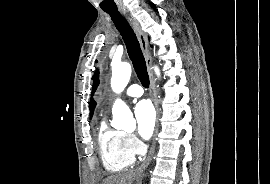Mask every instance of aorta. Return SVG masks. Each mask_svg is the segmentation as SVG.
I'll return each mask as SVG.
<instances>
[{"label":"aorta","instance_id":"aorta-1","mask_svg":"<svg viewBox=\"0 0 270 184\" xmlns=\"http://www.w3.org/2000/svg\"><path fill=\"white\" fill-rule=\"evenodd\" d=\"M159 76L158 67L154 68ZM131 65L126 62L114 64L112 66L111 87L114 92L121 93L127 86L131 76ZM113 126L125 131H133L136 128V121L129 107L120 99H117L112 108Z\"/></svg>","mask_w":270,"mask_h":184}]
</instances>
